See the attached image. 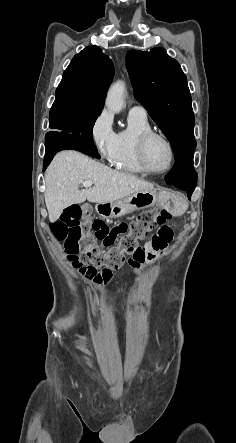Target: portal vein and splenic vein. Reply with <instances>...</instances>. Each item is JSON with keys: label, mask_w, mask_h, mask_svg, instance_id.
<instances>
[{"label": "portal vein and splenic vein", "mask_w": 236, "mask_h": 443, "mask_svg": "<svg viewBox=\"0 0 236 443\" xmlns=\"http://www.w3.org/2000/svg\"><path fill=\"white\" fill-rule=\"evenodd\" d=\"M82 184L85 188H89L93 185V182L88 180V181H84Z\"/></svg>", "instance_id": "portal-vein-and-splenic-vein-1"}]
</instances>
